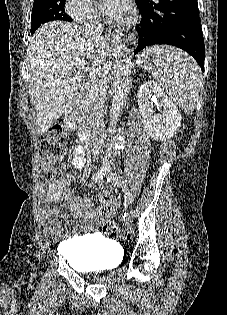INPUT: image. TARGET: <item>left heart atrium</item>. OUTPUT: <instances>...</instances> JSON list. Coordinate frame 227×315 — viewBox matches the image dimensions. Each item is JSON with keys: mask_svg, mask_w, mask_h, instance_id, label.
I'll list each match as a JSON object with an SVG mask.
<instances>
[{"mask_svg": "<svg viewBox=\"0 0 227 315\" xmlns=\"http://www.w3.org/2000/svg\"><path fill=\"white\" fill-rule=\"evenodd\" d=\"M103 13L112 21L123 22L131 9L130 0H100Z\"/></svg>", "mask_w": 227, "mask_h": 315, "instance_id": "1", "label": "left heart atrium"}]
</instances>
